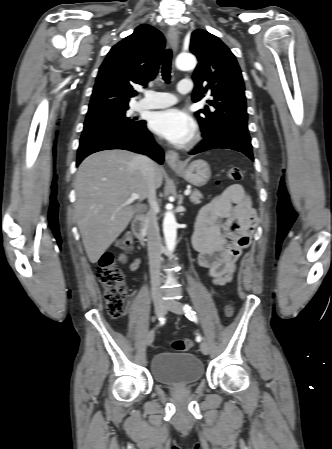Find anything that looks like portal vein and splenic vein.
I'll return each instance as SVG.
<instances>
[{"instance_id": "portal-vein-and-splenic-vein-1", "label": "portal vein and splenic vein", "mask_w": 332, "mask_h": 449, "mask_svg": "<svg viewBox=\"0 0 332 449\" xmlns=\"http://www.w3.org/2000/svg\"><path fill=\"white\" fill-rule=\"evenodd\" d=\"M190 193H191L190 190H186V191L184 192V194H185L186 196H188ZM136 199H139V195L136 194V193H133V194H131L129 201H133V200H136Z\"/></svg>"}]
</instances>
